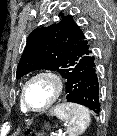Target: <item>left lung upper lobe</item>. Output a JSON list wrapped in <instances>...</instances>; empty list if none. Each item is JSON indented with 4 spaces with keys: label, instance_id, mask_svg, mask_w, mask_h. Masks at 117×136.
Listing matches in <instances>:
<instances>
[{
    "label": "left lung upper lobe",
    "instance_id": "1",
    "mask_svg": "<svg viewBox=\"0 0 117 136\" xmlns=\"http://www.w3.org/2000/svg\"><path fill=\"white\" fill-rule=\"evenodd\" d=\"M59 16V22L30 33L17 67V79L38 69L58 71L67 79L78 61L92 53L89 40L72 16Z\"/></svg>",
    "mask_w": 117,
    "mask_h": 136
}]
</instances>
